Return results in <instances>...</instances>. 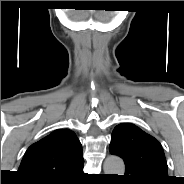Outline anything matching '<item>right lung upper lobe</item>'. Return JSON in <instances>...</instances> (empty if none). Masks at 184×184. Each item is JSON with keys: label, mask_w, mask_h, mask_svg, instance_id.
I'll return each instance as SVG.
<instances>
[{"label": "right lung upper lobe", "mask_w": 184, "mask_h": 184, "mask_svg": "<svg viewBox=\"0 0 184 184\" xmlns=\"http://www.w3.org/2000/svg\"><path fill=\"white\" fill-rule=\"evenodd\" d=\"M82 146L75 133L57 129L32 144L18 171L31 182H58L73 176L83 167Z\"/></svg>", "instance_id": "1"}]
</instances>
